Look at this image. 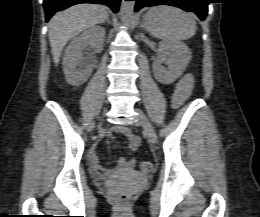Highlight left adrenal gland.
I'll return each mask as SVG.
<instances>
[{
    "label": "left adrenal gland",
    "mask_w": 260,
    "mask_h": 217,
    "mask_svg": "<svg viewBox=\"0 0 260 217\" xmlns=\"http://www.w3.org/2000/svg\"><path fill=\"white\" fill-rule=\"evenodd\" d=\"M141 27H142V29L147 30L146 23L144 20L141 23Z\"/></svg>",
    "instance_id": "a2214340"
}]
</instances>
